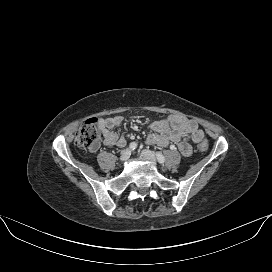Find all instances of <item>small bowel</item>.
Masks as SVG:
<instances>
[{
  "label": "small bowel",
  "instance_id": "small-bowel-1",
  "mask_svg": "<svg viewBox=\"0 0 272 272\" xmlns=\"http://www.w3.org/2000/svg\"><path fill=\"white\" fill-rule=\"evenodd\" d=\"M123 120L120 115L98 120L104 135L103 143L105 145L118 147L126 145V138L114 131L116 127L123 123ZM150 127L152 132L148 136V144L165 147L169 143H174L185 157L192 154L189 141L200 143L204 138L203 131L195 121L180 115H170L167 118L153 121ZM99 146L100 142H95L89 149L90 151H96Z\"/></svg>",
  "mask_w": 272,
  "mask_h": 272
}]
</instances>
